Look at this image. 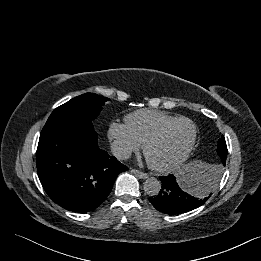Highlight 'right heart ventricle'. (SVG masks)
I'll use <instances>...</instances> for the list:
<instances>
[{
  "mask_svg": "<svg viewBox=\"0 0 261 261\" xmlns=\"http://www.w3.org/2000/svg\"><path fill=\"white\" fill-rule=\"evenodd\" d=\"M176 118L166 112L153 109H140L125 116V124L134 138L143 145L163 124Z\"/></svg>",
  "mask_w": 261,
  "mask_h": 261,
  "instance_id": "obj_1",
  "label": "right heart ventricle"
}]
</instances>
